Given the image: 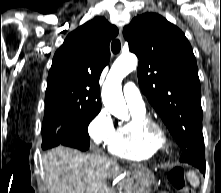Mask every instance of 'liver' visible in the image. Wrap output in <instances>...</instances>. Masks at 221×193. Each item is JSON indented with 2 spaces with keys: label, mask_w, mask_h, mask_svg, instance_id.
<instances>
[{
  "label": "liver",
  "mask_w": 221,
  "mask_h": 193,
  "mask_svg": "<svg viewBox=\"0 0 221 193\" xmlns=\"http://www.w3.org/2000/svg\"><path fill=\"white\" fill-rule=\"evenodd\" d=\"M43 166L49 193H105V178L119 170L100 150L90 154L64 146L44 153Z\"/></svg>",
  "instance_id": "6515ba94"
}]
</instances>
